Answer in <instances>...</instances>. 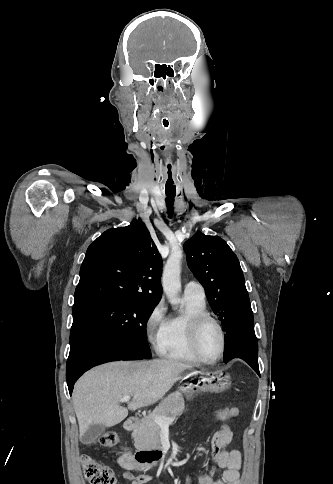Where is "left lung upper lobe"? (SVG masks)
<instances>
[{
    "label": "left lung upper lobe",
    "mask_w": 333,
    "mask_h": 484,
    "mask_svg": "<svg viewBox=\"0 0 333 484\" xmlns=\"http://www.w3.org/2000/svg\"><path fill=\"white\" fill-rule=\"evenodd\" d=\"M184 249L189 268L204 287L226 331L237 313L250 306L237 256L220 237L202 233L186 241Z\"/></svg>",
    "instance_id": "left-lung-upper-lobe-1"
}]
</instances>
